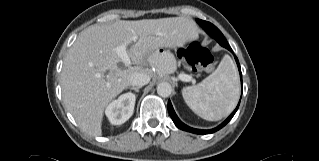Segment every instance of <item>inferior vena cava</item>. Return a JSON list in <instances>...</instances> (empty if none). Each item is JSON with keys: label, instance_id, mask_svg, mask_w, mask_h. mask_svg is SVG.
<instances>
[{"label": "inferior vena cava", "instance_id": "1", "mask_svg": "<svg viewBox=\"0 0 319 161\" xmlns=\"http://www.w3.org/2000/svg\"><path fill=\"white\" fill-rule=\"evenodd\" d=\"M150 81V76L144 72H134L129 78V85L142 87L148 84Z\"/></svg>", "mask_w": 319, "mask_h": 161}]
</instances>
